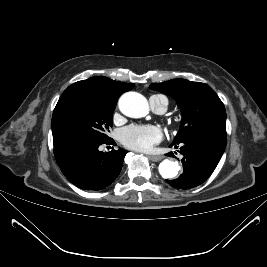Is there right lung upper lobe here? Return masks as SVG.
<instances>
[{
	"mask_svg": "<svg viewBox=\"0 0 267 267\" xmlns=\"http://www.w3.org/2000/svg\"><path fill=\"white\" fill-rule=\"evenodd\" d=\"M82 82L96 85L117 99L122 93L129 91L134 87L132 83H122L103 76L91 77Z\"/></svg>",
	"mask_w": 267,
	"mask_h": 267,
	"instance_id": "right-lung-upper-lobe-1",
	"label": "right lung upper lobe"
}]
</instances>
